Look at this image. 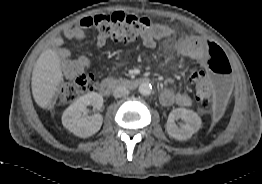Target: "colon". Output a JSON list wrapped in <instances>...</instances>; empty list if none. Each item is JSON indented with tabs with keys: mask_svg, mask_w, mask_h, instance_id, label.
<instances>
[{
	"mask_svg": "<svg viewBox=\"0 0 262 184\" xmlns=\"http://www.w3.org/2000/svg\"><path fill=\"white\" fill-rule=\"evenodd\" d=\"M81 28L94 27L106 38L130 42L134 41L153 28L150 19L123 12L100 14L80 20ZM207 70L212 77L207 79L205 71L198 68L191 73L197 100L203 109L212 107L215 118H220L227 107L231 93V65L220 46L208 43ZM96 87L94 77L81 74L67 82L60 91L59 99L63 103H72Z\"/></svg>",
	"mask_w": 262,
	"mask_h": 184,
	"instance_id": "obj_1",
	"label": "colon"
}]
</instances>
